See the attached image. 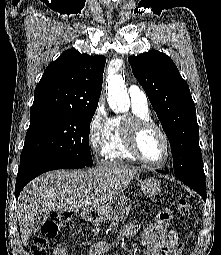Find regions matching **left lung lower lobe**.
<instances>
[{
  "instance_id": "1",
  "label": "left lung lower lobe",
  "mask_w": 221,
  "mask_h": 255,
  "mask_svg": "<svg viewBox=\"0 0 221 255\" xmlns=\"http://www.w3.org/2000/svg\"><path fill=\"white\" fill-rule=\"evenodd\" d=\"M158 172L167 174V171H160ZM183 182L185 185L191 187L193 190H195L197 193H199L204 201H206V183L205 179L204 180H180Z\"/></svg>"
}]
</instances>
